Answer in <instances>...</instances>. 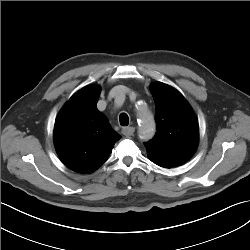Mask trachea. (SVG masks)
Wrapping results in <instances>:
<instances>
[{
	"label": "trachea",
	"mask_w": 250,
	"mask_h": 250,
	"mask_svg": "<svg viewBox=\"0 0 250 250\" xmlns=\"http://www.w3.org/2000/svg\"><path fill=\"white\" fill-rule=\"evenodd\" d=\"M119 120H120L121 126H128L129 117H128V115L126 113H121L120 117H119Z\"/></svg>",
	"instance_id": "3493384b"
}]
</instances>
